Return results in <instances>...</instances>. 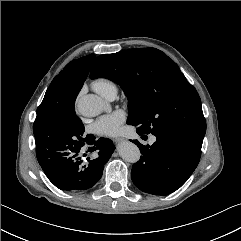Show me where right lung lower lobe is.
Here are the masks:
<instances>
[{"instance_id":"98d812e1","label":"right lung lower lobe","mask_w":241,"mask_h":241,"mask_svg":"<svg viewBox=\"0 0 241 241\" xmlns=\"http://www.w3.org/2000/svg\"><path fill=\"white\" fill-rule=\"evenodd\" d=\"M36 156L48 179L59 189L65 191H81L94 186L100 180L103 166L113 153L115 146L108 138L99 140L88 139V144L94 145L88 150H96L98 156L94 159H81V147L68 148L63 145L44 144L36 137ZM85 156V154H83Z\"/></svg>"}]
</instances>
